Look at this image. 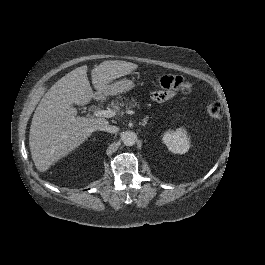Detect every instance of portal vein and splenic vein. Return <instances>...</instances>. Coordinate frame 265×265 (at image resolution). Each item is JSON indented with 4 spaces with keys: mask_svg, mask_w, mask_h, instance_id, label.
<instances>
[{
    "mask_svg": "<svg viewBox=\"0 0 265 265\" xmlns=\"http://www.w3.org/2000/svg\"><path fill=\"white\" fill-rule=\"evenodd\" d=\"M116 113H117V111L113 110V109H111V110H102V111L97 112V116H103L105 118H111V117H114L116 115ZM126 114L134 116L135 112L131 111L130 109H127L126 110Z\"/></svg>",
    "mask_w": 265,
    "mask_h": 265,
    "instance_id": "1",
    "label": "portal vein and splenic vein"
}]
</instances>
